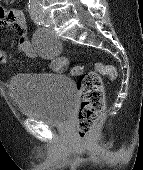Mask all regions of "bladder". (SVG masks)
I'll list each match as a JSON object with an SVG mask.
<instances>
[{
  "label": "bladder",
  "mask_w": 143,
  "mask_h": 170,
  "mask_svg": "<svg viewBox=\"0 0 143 170\" xmlns=\"http://www.w3.org/2000/svg\"><path fill=\"white\" fill-rule=\"evenodd\" d=\"M8 90L20 112L47 124L62 125L74 112L78 93L71 79L56 73H20Z\"/></svg>",
  "instance_id": "1"
}]
</instances>
